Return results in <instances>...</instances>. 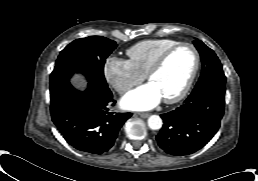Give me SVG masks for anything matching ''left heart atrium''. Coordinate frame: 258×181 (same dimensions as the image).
<instances>
[{
    "mask_svg": "<svg viewBox=\"0 0 258 181\" xmlns=\"http://www.w3.org/2000/svg\"><path fill=\"white\" fill-rule=\"evenodd\" d=\"M162 99L156 86L149 82L126 94L121 105L128 110H149L155 107Z\"/></svg>",
    "mask_w": 258,
    "mask_h": 181,
    "instance_id": "left-heart-atrium-1",
    "label": "left heart atrium"
}]
</instances>
